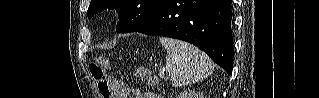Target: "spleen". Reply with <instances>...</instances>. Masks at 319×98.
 Instances as JSON below:
<instances>
[{
  "label": "spleen",
  "instance_id": "obj_1",
  "mask_svg": "<svg viewBox=\"0 0 319 98\" xmlns=\"http://www.w3.org/2000/svg\"><path fill=\"white\" fill-rule=\"evenodd\" d=\"M160 42L167 51L166 70L173 86H187L212 73V61L198 48L170 38H160Z\"/></svg>",
  "mask_w": 319,
  "mask_h": 98
}]
</instances>
